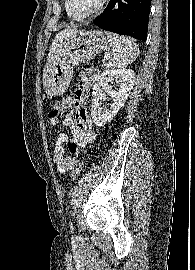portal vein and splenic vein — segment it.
I'll list each match as a JSON object with an SVG mask.
<instances>
[{"mask_svg":"<svg viewBox=\"0 0 195 270\" xmlns=\"http://www.w3.org/2000/svg\"><path fill=\"white\" fill-rule=\"evenodd\" d=\"M105 58H110V54H105V56H104Z\"/></svg>","mask_w":195,"mask_h":270,"instance_id":"18ae733b","label":"portal vein and splenic vein"}]
</instances>
